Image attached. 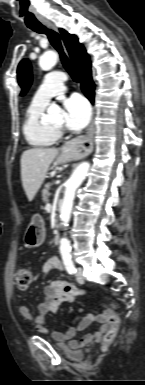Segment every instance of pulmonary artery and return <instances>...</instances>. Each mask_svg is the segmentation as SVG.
I'll use <instances>...</instances> for the list:
<instances>
[{
  "label": "pulmonary artery",
  "instance_id": "pulmonary-artery-1",
  "mask_svg": "<svg viewBox=\"0 0 145 385\" xmlns=\"http://www.w3.org/2000/svg\"><path fill=\"white\" fill-rule=\"evenodd\" d=\"M67 76L61 71H52L45 79L33 97V102L47 105L50 99L65 90L64 82Z\"/></svg>",
  "mask_w": 145,
  "mask_h": 385
}]
</instances>
